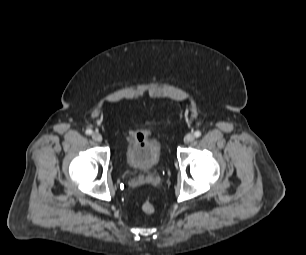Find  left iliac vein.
<instances>
[{"mask_svg": "<svg viewBox=\"0 0 306 255\" xmlns=\"http://www.w3.org/2000/svg\"><path fill=\"white\" fill-rule=\"evenodd\" d=\"M194 139H195V136H194L192 133H189V134H187V135L184 137V142H185V143H190V142H192Z\"/></svg>", "mask_w": 306, "mask_h": 255, "instance_id": "obj_1", "label": "left iliac vein"}]
</instances>
